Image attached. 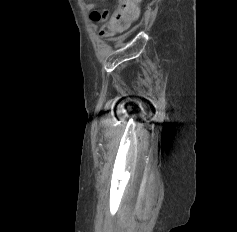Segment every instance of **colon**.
Returning a JSON list of instances; mask_svg holds the SVG:
<instances>
[{
	"mask_svg": "<svg viewBox=\"0 0 237 232\" xmlns=\"http://www.w3.org/2000/svg\"><path fill=\"white\" fill-rule=\"evenodd\" d=\"M139 2L140 0H119L112 12H94L92 19L102 22L100 34L104 37H111L129 29L138 16Z\"/></svg>",
	"mask_w": 237,
	"mask_h": 232,
	"instance_id": "colon-1",
	"label": "colon"
}]
</instances>
